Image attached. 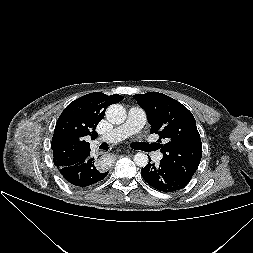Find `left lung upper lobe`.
Masks as SVG:
<instances>
[{"label":"left lung upper lobe","mask_w":253,"mask_h":253,"mask_svg":"<svg viewBox=\"0 0 253 253\" xmlns=\"http://www.w3.org/2000/svg\"><path fill=\"white\" fill-rule=\"evenodd\" d=\"M133 98L145 110L151 133L165 140L159 148L161 162L188 181L202 157V143L192 113L180 102L158 92L135 94Z\"/></svg>","instance_id":"left-lung-upper-lobe-1"}]
</instances>
